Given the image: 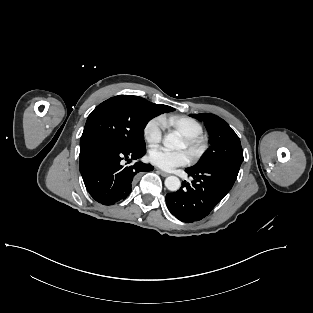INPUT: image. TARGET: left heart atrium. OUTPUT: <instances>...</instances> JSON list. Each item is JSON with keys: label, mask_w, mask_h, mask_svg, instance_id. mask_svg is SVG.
Masks as SVG:
<instances>
[{"label": "left heart atrium", "mask_w": 313, "mask_h": 313, "mask_svg": "<svg viewBox=\"0 0 313 313\" xmlns=\"http://www.w3.org/2000/svg\"><path fill=\"white\" fill-rule=\"evenodd\" d=\"M149 160L163 170H172L190 163L191 156L188 151H170L163 147L153 148L149 153Z\"/></svg>", "instance_id": "obj_1"}]
</instances>
